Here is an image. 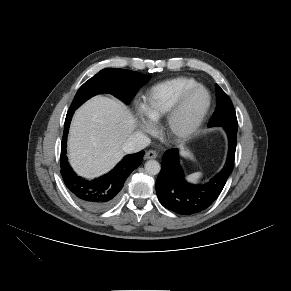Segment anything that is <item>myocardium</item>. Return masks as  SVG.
Wrapping results in <instances>:
<instances>
[{"label": "myocardium", "instance_id": "f54148a6", "mask_svg": "<svg viewBox=\"0 0 291 291\" xmlns=\"http://www.w3.org/2000/svg\"><path fill=\"white\" fill-rule=\"evenodd\" d=\"M197 91H203L205 93L206 103L198 116L189 125L181 127L178 123L180 115L190 97ZM211 104V93L204 85L197 84L189 88L182 94V96L179 98V100L176 102V104L167 115L165 127L168 136L178 141H183L191 138L200 129L203 122L205 121L210 111Z\"/></svg>", "mask_w": 291, "mask_h": 291}]
</instances>
